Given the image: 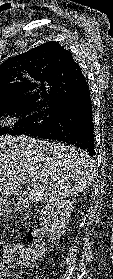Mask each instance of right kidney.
I'll return each instance as SVG.
<instances>
[{"label": "right kidney", "instance_id": "1", "mask_svg": "<svg viewBox=\"0 0 113 279\" xmlns=\"http://www.w3.org/2000/svg\"><path fill=\"white\" fill-rule=\"evenodd\" d=\"M74 202L62 200L47 204L39 213L40 229L48 237V242L55 244L65 233Z\"/></svg>", "mask_w": 113, "mask_h": 279}]
</instances>
